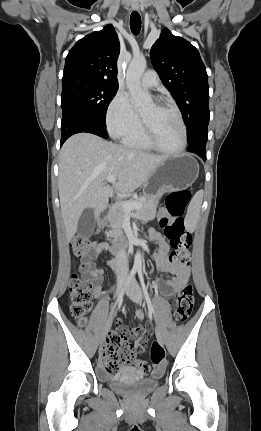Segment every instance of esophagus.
<instances>
[{
	"mask_svg": "<svg viewBox=\"0 0 261 431\" xmlns=\"http://www.w3.org/2000/svg\"><path fill=\"white\" fill-rule=\"evenodd\" d=\"M132 8H133L134 10H139V4H138V3H134V4H132Z\"/></svg>",
	"mask_w": 261,
	"mask_h": 431,
	"instance_id": "esophagus-1",
	"label": "esophagus"
}]
</instances>
